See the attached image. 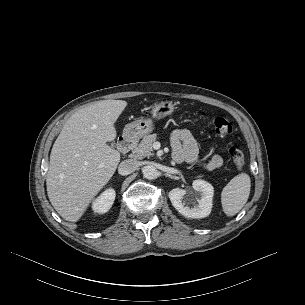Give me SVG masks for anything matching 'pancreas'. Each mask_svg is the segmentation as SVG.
<instances>
[{
	"label": "pancreas",
	"mask_w": 305,
	"mask_h": 305,
	"mask_svg": "<svg viewBox=\"0 0 305 305\" xmlns=\"http://www.w3.org/2000/svg\"><path fill=\"white\" fill-rule=\"evenodd\" d=\"M157 139V134L145 136L142 141L132 149V156L135 159H143L153 155V143Z\"/></svg>",
	"instance_id": "obj_1"
}]
</instances>
